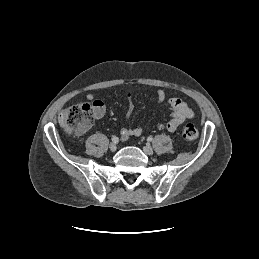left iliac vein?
<instances>
[{
    "instance_id": "4c4485c4",
    "label": "left iliac vein",
    "mask_w": 259,
    "mask_h": 259,
    "mask_svg": "<svg viewBox=\"0 0 259 259\" xmlns=\"http://www.w3.org/2000/svg\"><path fill=\"white\" fill-rule=\"evenodd\" d=\"M143 151H144V153L145 154H147V155H152L153 154V148L150 146V145H145L144 147H143Z\"/></svg>"
}]
</instances>
